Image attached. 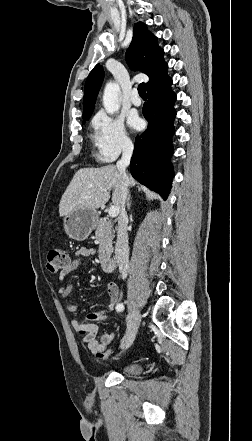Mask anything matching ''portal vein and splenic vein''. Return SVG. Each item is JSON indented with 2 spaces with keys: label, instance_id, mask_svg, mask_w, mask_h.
Returning a JSON list of instances; mask_svg holds the SVG:
<instances>
[{
  "label": "portal vein and splenic vein",
  "instance_id": "1",
  "mask_svg": "<svg viewBox=\"0 0 252 441\" xmlns=\"http://www.w3.org/2000/svg\"><path fill=\"white\" fill-rule=\"evenodd\" d=\"M108 214L112 218L117 217L119 214V208L117 206H111L108 210Z\"/></svg>",
  "mask_w": 252,
  "mask_h": 441
}]
</instances>
